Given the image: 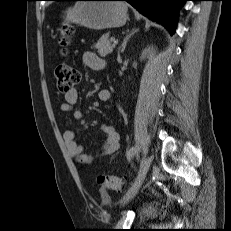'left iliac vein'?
I'll use <instances>...</instances> for the list:
<instances>
[{
  "label": "left iliac vein",
  "mask_w": 231,
  "mask_h": 231,
  "mask_svg": "<svg viewBox=\"0 0 231 231\" xmlns=\"http://www.w3.org/2000/svg\"><path fill=\"white\" fill-rule=\"evenodd\" d=\"M151 162L152 159L149 156H145L142 159L137 177L135 178V181L132 184L131 188L129 189L128 193L124 197V203L132 199L140 189L141 185L144 182L146 174L151 166Z\"/></svg>",
  "instance_id": "obj_1"
}]
</instances>
